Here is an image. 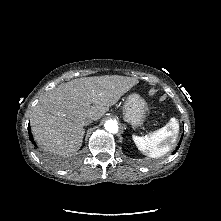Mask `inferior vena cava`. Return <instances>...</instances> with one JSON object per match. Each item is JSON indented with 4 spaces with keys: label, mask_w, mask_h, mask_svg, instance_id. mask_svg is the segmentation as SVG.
Wrapping results in <instances>:
<instances>
[{
    "label": "inferior vena cava",
    "mask_w": 221,
    "mask_h": 221,
    "mask_svg": "<svg viewBox=\"0 0 221 221\" xmlns=\"http://www.w3.org/2000/svg\"><path fill=\"white\" fill-rule=\"evenodd\" d=\"M92 121H93L92 117L88 116V117L83 118L82 124L88 125V124L92 123Z\"/></svg>",
    "instance_id": "1"
}]
</instances>
